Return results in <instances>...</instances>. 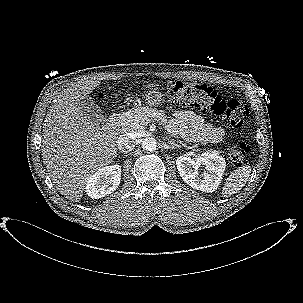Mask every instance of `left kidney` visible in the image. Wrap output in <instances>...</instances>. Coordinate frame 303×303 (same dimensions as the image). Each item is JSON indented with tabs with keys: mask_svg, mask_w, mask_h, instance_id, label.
Returning <instances> with one entry per match:
<instances>
[{
	"mask_svg": "<svg viewBox=\"0 0 303 303\" xmlns=\"http://www.w3.org/2000/svg\"><path fill=\"white\" fill-rule=\"evenodd\" d=\"M176 165L181 178L189 186L200 191L213 192L221 182L226 162L217 154L205 152L196 158L180 156L176 160ZM201 165L207 170L203 176L197 171Z\"/></svg>",
	"mask_w": 303,
	"mask_h": 303,
	"instance_id": "obj_1",
	"label": "left kidney"
}]
</instances>
